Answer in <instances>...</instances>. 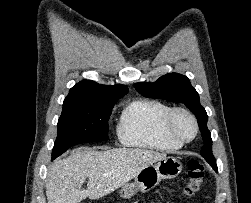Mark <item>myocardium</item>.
<instances>
[{
  "label": "myocardium",
  "mask_w": 251,
  "mask_h": 203,
  "mask_svg": "<svg viewBox=\"0 0 251 203\" xmlns=\"http://www.w3.org/2000/svg\"><path fill=\"white\" fill-rule=\"evenodd\" d=\"M178 114H184L192 121L194 125V133L191 137L184 138L175 131L174 120ZM163 129L167 136L178 141L181 144H185V143H189L193 141L196 138L199 131V124L195 115L191 111L183 107H174V108H171L170 111L167 113L164 119Z\"/></svg>",
  "instance_id": "myocardium-1"
}]
</instances>
